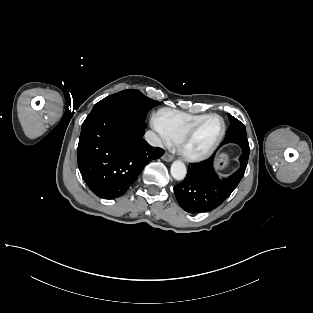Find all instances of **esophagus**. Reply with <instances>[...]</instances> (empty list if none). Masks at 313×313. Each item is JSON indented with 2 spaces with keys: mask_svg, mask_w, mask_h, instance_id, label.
Returning a JSON list of instances; mask_svg holds the SVG:
<instances>
[{
  "mask_svg": "<svg viewBox=\"0 0 313 313\" xmlns=\"http://www.w3.org/2000/svg\"><path fill=\"white\" fill-rule=\"evenodd\" d=\"M174 159V157L172 155H170L169 153H165L163 155V160L166 162H171Z\"/></svg>",
  "mask_w": 313,
  "mask_h": 313,
  "instance_id": "34e87169",
  "label": "esophagus"
}]
</instances>
